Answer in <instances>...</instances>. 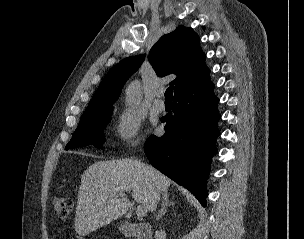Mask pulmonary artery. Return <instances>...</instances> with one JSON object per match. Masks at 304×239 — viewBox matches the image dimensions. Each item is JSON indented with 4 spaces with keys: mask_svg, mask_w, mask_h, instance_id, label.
Masks as SVG:
<instances>
[{
    "mask_svg": "<svg viewBox=\"0 0 304 239\" xmlns=\"http://www.w3.org/2000/svg\"><path fill=\"white\" fill-rule=\"evenodd\" d=\"M163 90L157 92V98L155 99L153 106L157 111H163L165 108V102L161 99L163 95Z\"/></svg>",
    "mask_w": 304,
    "mask_h": 239,
    "instance_id": "e3ab8cb5",
    "label": "pulmonary artery"
}]
</instances>
